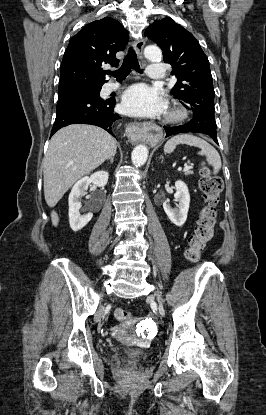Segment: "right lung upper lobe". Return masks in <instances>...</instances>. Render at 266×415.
Masks as SVG:
<instances>
[{
	"label": "right lung upper lobe",
	"mask_w": 266,
	"mask_h": 415,
	"mask_svg": "<svg viewBox=\"0 0 266 415\" xmlns=\"http://www.w3.org/2000/svg\"><path fill=\"white\" fill-rule=\"evenodd\" d=\"M128 33L117 20L105 17L84 26L73 36L65 51L58 92L102 87L105 73L101 66L117 67L116 53L124 50Z\"/></svg>",
	"instance_id": "obj_1"
}]
</instances>
